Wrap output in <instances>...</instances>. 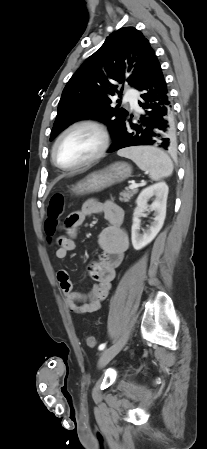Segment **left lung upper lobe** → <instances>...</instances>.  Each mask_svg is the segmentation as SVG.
Listing matches in <instances>:
<instances>
[{
    "label": "left lung upper lobe",
    "mask_w": 207,
    "mask_h": 449,
    "mask_svg": "<svg viewBox=\"0 0 207 449\" xmlns=\"http://www.w3.org/2000/svg\"><path fill=\"white\" fill-rule=\"evenodd\" d=\"M156 61L154 50L139 30L124 27L112 33L66 84L50 141L68 125L88 118L105 123L115 139L129 114L124 108L110 106L112 97L123 91L118 90V83L127 81L139 89Z\"/></svg>",
    "instance_id": "1"
}]
</instances>
